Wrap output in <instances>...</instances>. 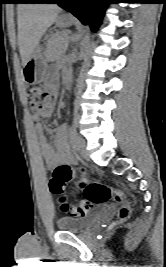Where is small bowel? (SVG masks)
<instances>
[{
	"label": "small bowel",
	"instance_id": "1",
	"mask_svg": "<svg viewBox=\"0 0 166 267\" xmlns=\"http://www.w3.org/2000/svg\"><path fill=\"white\" fill-rule=\"evenodd\" d=\"M48 88L54 94L56 86L53 82L47 84ZM52 115V109H48L39 113L33 114L36 130L39 135V147L46 165L50 169L57 166H68L74 163V158L71 154L68 142V130L66 125H61L57 128L48 129L47 133L53 138L54 145H52L44 136L43 119Z\"/></svg>",
	"mask_w": 166,
	"mask_h": 267
}]
</instances>
